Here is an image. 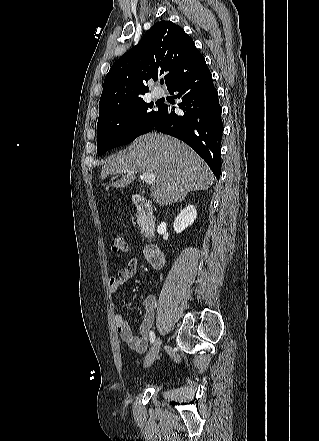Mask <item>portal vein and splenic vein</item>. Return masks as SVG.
<instances>
[{"instance_id":"obj_1","label":"portal vein and splenic vein","mask_w":319,"mask_h":441,"mask_svg":"<svg viewBox=\"0 0 319 441\" xmlns=\"http://www.w3.org/2000/svg\"><path fill=\"white\" fill-rule=\"evenodd\" d=\"M141 177L146 184H152L155 181L156 175L153 172H143Z\"/></svg>"}]
</instances>
